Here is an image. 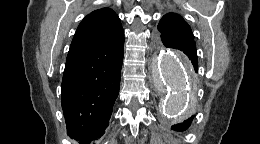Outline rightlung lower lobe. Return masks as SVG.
Wrapping results in <instances>:
<instances>
[{
  "label": "right lung lower lobe",
  "instance_id": "obj_1",
  "mask_svg": "<svg viewBox=\"0 0 260 144\" xmlns=\"http://www.w3.org/2000/svg\"><path fill=\"white\" fill-rule=\"evenodd\" d=\"M124 36L75 51L66 59L61 103L67 133L81 144L100 138L119 94Z\"/></svg>",
  "mask_w": 260,
  "mask_h": 144
}]
</instances>
